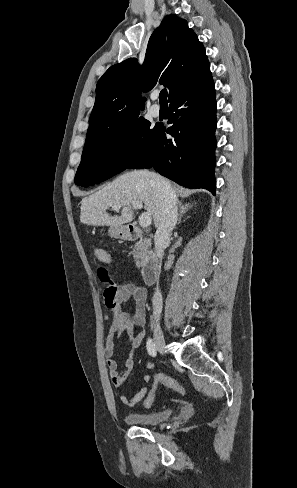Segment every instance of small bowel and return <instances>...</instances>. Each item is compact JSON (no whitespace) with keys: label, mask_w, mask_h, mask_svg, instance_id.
Instances as JSON below:
<instances>
[{"label":"small bowel","mask_w":297,"mask_h":488,"mask_svg":"<svg viewBox=\"0 0 297 488\" xmlns=\"http://www.w3.org/2000/svg\"><path fill=\"white\" fill-rule=\"evenodd\" d=\"M105 253L107 256L102 259L101 262L111 263V256L108 252L105 251ZM130 300L135 304V309L132 314L116 312L114 315V321L118 329L125 333L130 339V350L122 369L119 368L118 362L114 357L115 339L113 334L109 335L104 348V356L111 381L118 389L122 388L129 378L135 363V353L145 337L144 327L146 323L147 292L144 287L133 282H124L117 285L116 304H121ZM136 328L141 329L137 334H135ZM150 367L151 365L148 366V368ZM143 380L145 382H150L151 375L145 374ZM152 388L153 387L150 389ZM150 389L143 387L132 397L121 394L119 399L122 404L133 407L144 397H147V392L150 391Z\"/></svg>","instance_id":"small-bowel-1"}]
</instances>
